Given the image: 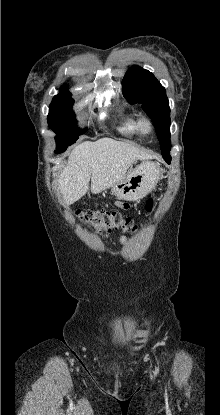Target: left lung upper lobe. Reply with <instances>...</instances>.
I'll return each mask as SVG.
<instances>
[{"label":"left lung upper lobe","mask_w":220,"mask_h":415,"mask_svg":"<svg viewBox=\"0 0 220 415\" xmlns=\"http://www.w3.org/2000/svg\"><path fill=\"white\" fill-rule=\"evenodd\" d=\"M122 90L127 100L133 104L140 103L152 118L162 156H170V108L165 88L151 72L133 66L122 80Z\"/></svg>","instance_id":"left-lung-upper-lobe-1"}]
</instances>
